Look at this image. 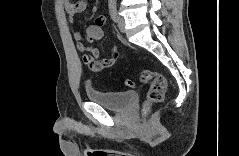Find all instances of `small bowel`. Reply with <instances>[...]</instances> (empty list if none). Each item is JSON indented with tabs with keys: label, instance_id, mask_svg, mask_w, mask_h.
<instances>
[{
	"label": "small bowel",
	"instance_id": "small-bowel-1",
	"mask_svg": "<svg viewBox=\"0 0 239 156\" xmlns=\"http://www.w3.org/2000/svg\"><path fill=\"white\" fill-rule=\"evenodd\" d=\"M63 6L68 15L70 23H76V15L82 13L87 8V2L84 0L80 1H63ZM105 18L100 16L96 19L95 24L90 25L86 29V41L87 44L82 42V32L79 29H74L73 38L77 42V48L80 52L84 53L83 62L85 65L94 72L101 71L109 68L115 64L119 56V49L116 45H112L109 50L108 57H100V52L93 43L101 40L104 36L102 25L105 23Z\"/></svg>",
	"mask_w": 239,
	"mask_h": 156
}]
</instances>
